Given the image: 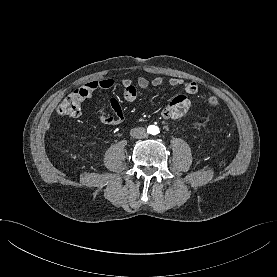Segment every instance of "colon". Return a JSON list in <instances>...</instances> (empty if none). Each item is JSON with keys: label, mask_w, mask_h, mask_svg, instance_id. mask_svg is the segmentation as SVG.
<instances>
[{"label": "colon", "mask_w": 277, "mask_h": 277, "mask_svg": "<svg viewBox=\"0 0 277 277\" xmlns=\"http://www.w3.org/2000/svg\"><path fill=\"white\" fill-rule=\"evenodd\" d=\"M84 99V94L80 91H75L65 97L58 106V113L68 117H77L81 113V103ZM209 106H216L219 103L217 96L209 94L206 98Z\"/></svg>", "instance_id": "1"}]
</instances>
